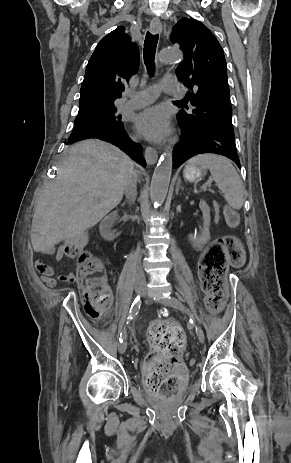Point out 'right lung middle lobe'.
I'll return each instance as SVG.
<instances>
[{"label": "right lung middle lobe", "instance_id": "obj_1", "mask_svg": "<svg viewBox=\"0 0 291 463\" xmlns=\"http://www.w3.org/2000/svg\"><path fill=\"white\" fill-rule=\"evenodd\" d=\"M115 112L116 108H111L96 114L76 117L75 126L69 138L78 137L89 132L114 130L122 127L121 116L115 115Z\"/></svg>", "mask_w": 291, "mask_h": 463}]
</instances>
